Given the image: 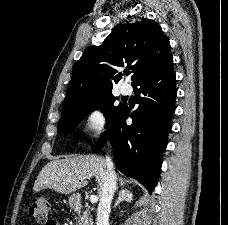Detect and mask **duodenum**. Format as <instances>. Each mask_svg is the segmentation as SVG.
I'll list each match as a JSON object with an SVG mask.
<instances>
[{
	"mask_svg": "<svg viewBox=\"0 0 228 225\" xmlns=\"http://www.w3.org/2000/svg\"><path fill=\"white\" fill-rule=\"evenodd\" d=\"M71 204L74 208H80L81 207V201L77 196H74L71 198Z\"/></svg>",
	"mask_w": 228,
	"mask_h": 225,
	"instance_id": "obj_1",
	"label": "duodenum"
}]
</instances>
